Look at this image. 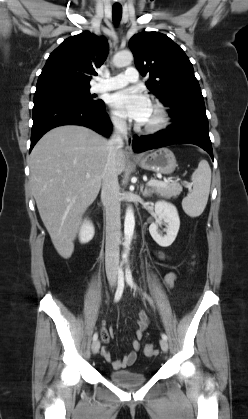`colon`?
Wrapping results in <instances>:
<instances>
[{
  "instance_id": "obj_1",
  "label": "colon",
  "mask_w": 248,
  "mask_h": 419,
  "mask_svg": "<svg viewBox=\"0 0 248 419\" xmlns=\"http://www.w3.org/2000/svg\"><path fill=\"white\" fill-rule=\"evenodd\" d=\"M144 353L146 356H153L156 353V350L154 348V345L149 343L146 344L145 348H144Z\"/></svg>"
}]
</instances>
